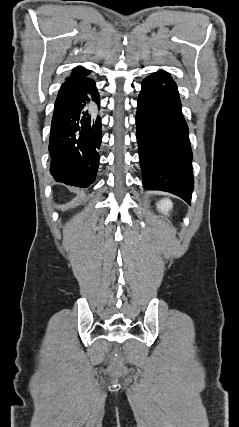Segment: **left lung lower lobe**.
Here are the masks:
<instances>
[{"instance_id":"0a47b994","label":"left lung lower lobe","mask_w":239,"mask_h":427,"mask_svg":"<svg viewBox=\"0 0 239 427\" xmlns=\"http://www.w3.org/2000/svg\"><path fill=\"white\" fill-rule=\"evenodd\" d=\"M136 126L143 187L173 193L190 204L192 151L177 86L169 73L158 71L143 80Z\"/></svg>"}]
</instances>
